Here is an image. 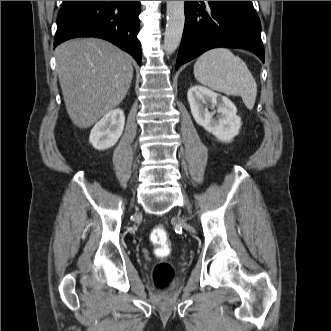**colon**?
Wrapping results in <instances>:
<instances>
[{"instance_id":"5ec220e1","label":"colon","mask_w":331,"mask_h":331,"mask_svg":"<svg viewBox=\"0 0 331 331\" xmlns=\"http://www.w3.org/2000/svg\"><path fill=\"white\" fill-rule=\"evenodd\" d=\"M150 240L156 246V254L159 257H165L169 253V234L163 226H156L150 232ZM175 278L173 265L160 260L152 269V282L156 292L162 298L170 296Z\"/></svg>"}]
</instances>
